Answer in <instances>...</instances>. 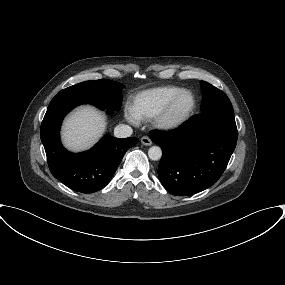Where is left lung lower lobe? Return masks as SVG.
<instances>
[{
    "label": "left lung lower lobe",
    "mask_w": 285,
    "mask_h": 285,
    "mask_svg": "<svg viewBox=\"0 0 285 285\" xmlns=\"http://www.w3.org/2000/svg\"><path fill=\"white\" fill-rule=\"evenodd\" d=\"M233 111L211 109L169 132L152 131L162 148L158 175L171 194L192 195L212 186L223 174L237 143Z\"/></svg>",
    "instance_id": "0a47b994"
}]
</instances>
